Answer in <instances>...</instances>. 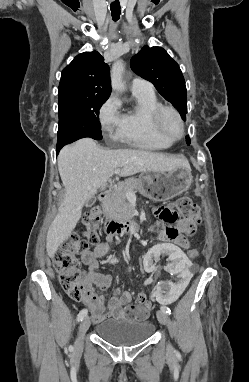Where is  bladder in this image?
<instances>
[{"mask_svg": "<svg viewBox=\"0 0 249 382\" xmlns=\"http://www.w3.org/2000/svg\"><path fill=\"white\" fill-rule=\"evenodd\" d=\"M154 330L151 321L108 318L96 326L98 337L119 347H129L147 340Z\"/></svg>", "mask_w": 249, "mask_h": 382, "instance_id": "obj_1", "label": "bladder"}]
</instances>
